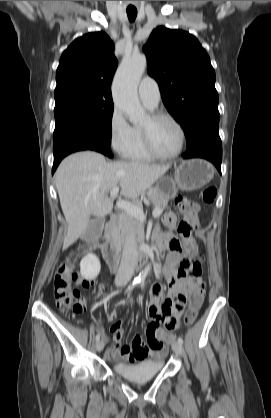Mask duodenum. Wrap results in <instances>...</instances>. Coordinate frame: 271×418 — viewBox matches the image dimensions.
<instances>
[{"instance_id":"1","label":"duodenum","mask_w":271,"mask_h":418,"mask_svg":"<svg viewBox=\"0 0 271 418\" xmlns=\"http://www.w3.org/2000/svg\"><path fill=\"white\" fill-rule=\"evenodd\" d=\"M117 219L118 214L113 212L109 215V221L106 225L104 243L102 245V252L104 259L110 269L114 270L118 266L120 258L119 243L117 237ZM158 247H162L163 243L161 241L157 244ZM152 246L143 245L141 246L135 255L134 266L136 269L140 268L144 263L147 255L150 253Z\"/></svg>"}]
</instances>
